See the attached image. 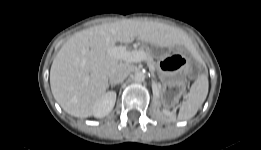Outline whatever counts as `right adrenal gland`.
Here are the masks:
<instances>
[{"label": "right adrenal gland", "mask_w": 261, "mask_h": 150, "mask_svg": "<svg viewBox=\"0 0 261 150\" xmlns=\"http://www.w3.org/2000/svg\"><path fill=\"white\" fill-rule=\"evenodd\" d=\"M117 85V83H113V82H109L108 83V87L111 86V87H115Z\"/></svg>", "instance_id": "1"}]
</instances>
